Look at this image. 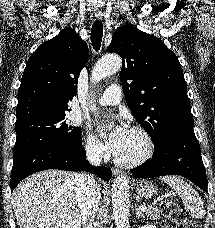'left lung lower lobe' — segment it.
I'll list each match as a JSON object with an SVG mask.
<instances>
[{"instance_id":"1","label":"left lung lower lobe","mask_w":215,"mask_h":228,"mask_svg":"<svg viewBox=\"0 0 215 228\" xmlns=\"http://www.w3.org/2000/svg\"><path fill=\"white\" fill-rule=\"evenodd\" d=\"M154 146L152 159L131 170L135 178L181 175L207 192V176L193 127L169 132Z\"/></svg>"}]
</instances>
